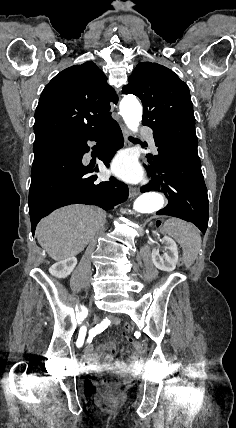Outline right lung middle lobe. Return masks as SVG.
<instances>
[{
  "label": "right lung middle lobe",
  "instance_id": "1",
  "mask_svg": "<svg viewBox=\"0 0 236 428\" xmlns=\"http://www.w3.org/2000/svg\"><path fill=\"white\" fill-rule=\"evenodd\" d=\"M56 145V141H47L43 143L34 144V157L42 155L46 152L51 151V149Z\"/></svg>",
  "mask_w": 236,
  "mask_h": 428
}]
</instances>
